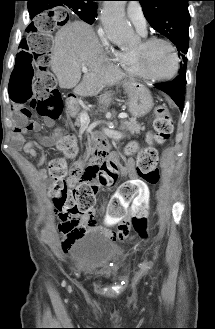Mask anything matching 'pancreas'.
Masks as SVG:
<instances>
[{
  "mask_svg": "<svg viewBox=\"0 0 215 329\" xmlns=\"http://www.w3.org/2000/svg\"><path fill=\"white\" fill-rule=\"evenodd\" d=\"M73 115V117H75L76 121H75V125L76 126H80V117L82 113H79V110L77 109L76 111L71 113ZM120 129L122 131H129L130 134L134 135V134H140V131L145 130L144 127H142L135 118H130L128 121L125 120L121 123Z\"/></svg>",
  "mask_w": 215,
  "mask_h": 329,
  "instance_id": "cf45deb5",
  "label": "pancreas"
}]
</instances>
